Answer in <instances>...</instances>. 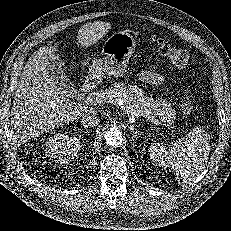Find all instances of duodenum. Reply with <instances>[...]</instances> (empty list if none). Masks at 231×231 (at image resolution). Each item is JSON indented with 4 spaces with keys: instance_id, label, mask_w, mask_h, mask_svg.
<instances>
[{
    "instance_id": "obj_1",
    "label": "duodenum",
    "mask_w": 231,
    "mask_h": 231,
    "mask_svg": "<svg viewBox=\"0 0 231 231\" xmlns=\"http://www.w3.org/2000/svg\"><path fill=\"white\" fill-rule=\"evenodd\" d=\"M96 86V79L94 77H89L87 80L83 83L81 87L82 92H89L93 90Z\"/></svg>"
}]
</instances>
